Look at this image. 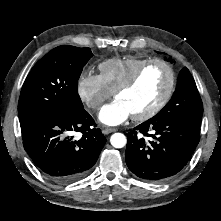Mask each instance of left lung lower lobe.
<instances>
[{
  "mask_svg": "<svg viewBox=\"0 0 221 221\" xmlns=\"http://www.w3.org/2000/svg\"><path fill=\"white\" fill-rule=\"evenodd\" d=\"M199 140L200 127L177 116L155 115L128 133L126 164L137 177L162 182L184 168Z\"/></svg>",
  "mask_w": 221,
  "mask_h": 221,
  "instance_id": "1",
  "label": "left lung lower lobe"
}]
</instances>
